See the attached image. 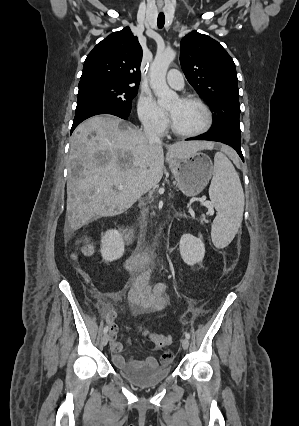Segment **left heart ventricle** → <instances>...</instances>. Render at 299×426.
I'll return each instance as SVG.
<instances>
[{
    "label": "left heart ventricle",
    "mask_w": 299,
    "mask_h": 426,
    "mask_svg": "<svg viewBox=\"0 0 299 426\" xmlns=\"http://www.w3.org/2000/svg\"><path fill=\"white\" fill-rule=\"evenodd\" d=\"M168 111L175 126L181 131H196L205 123L204 111L194 102H184L177 98L168 106Z\"/></svg>",
    "instance_id": "obj_1"
}]
</instances>
